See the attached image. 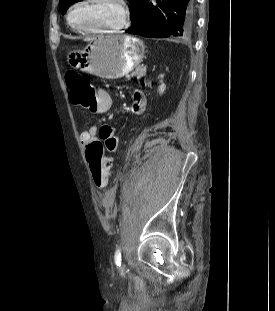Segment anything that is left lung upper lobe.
Segmentation results:
<instances>
[{
  "mask_svg": "<svg viewBox=\"0 0 275 311\" xmlns=\"http://www.w3.org/2000/svg\"><path fill=\"white\" fill-rule=\"evenodd\" d=\"M78 1H81V0H60L59 9H60L61 13L65 14L67 9L69 8V6L78 2ZM128 1L131 4L130 16H131V20L133 22L137 16L138 12L140 11L145 0H128Z\"/></svg>",
  "mask_w": 275,
  "mask_h": 311,
  "instance_id": "5c2ea615",
  "label": "left lung upper lobe"
}]
</instances>
